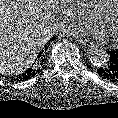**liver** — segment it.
I'll list each match as a JSON object with an SVG mask.
<instances>
[{
    "mask_svg": "<svg viewBox=\"0 0 118 118\" xmlns=\"http://www.w3.org/2000/svg\"><path fill=\"white\" fill-rule=\"evenodd\" d=\"M58 0H0V73L19 75L55 33Z\"/></svg>",
    "mask_w": 118,
    "mask_h": 118,
    "instance_id": "obj_1",
    "label": "liver"
}]
</instances>
